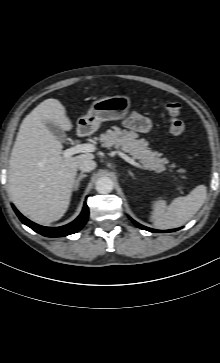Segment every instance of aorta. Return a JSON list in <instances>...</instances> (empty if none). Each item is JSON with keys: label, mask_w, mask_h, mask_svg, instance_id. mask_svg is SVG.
<instances>
[{"label": "aorta", "mask_w": 220, "mask_h": 363, "mask_svg": "<svg viewBox=\"0 0 220 363\" xmlns=\"http://www.w3.org/2000/svg\"><path fill=\"white\" fill-rule=\"evenodd\" d=\"M95 188L100 194H108L113 190V181L109 177H101L96 181Z\"/></svg>", "instance_id": "762f6f07"}]
</instances>
